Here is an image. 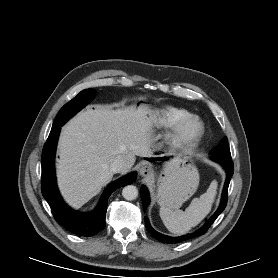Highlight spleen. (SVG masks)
I'll list each match as a JSON object with an SVG mask.
<instances>
[{
    "mask_svg": "<svg viewBox=\"0 0 278 278\" xmlns=\"http://www.w3.org/2000/svg\"><path fill=\"white\" fill-rule=\"evenodd\" d=\"M216 192L217 181L213 180L207 191L199 198H194L185 211L161 206L160 217L166 228L174 234L182 235L197 226L211 211Z\"/></svg>",
    "mask_w": 278,
    "mask_h": 278,
    "instance_id": "3e777b00",
    "label": "spleen"
}]
</instances>
